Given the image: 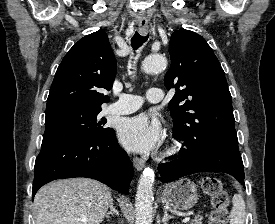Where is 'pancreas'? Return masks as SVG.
<instances>
[{
  "instance_id": "cf45deb5",
  "label": "pancreas",
  "mask_w": 275,
  "mask_h": 224,
  "mask_svg": "<svg viewBox=\"0 0 275 224\" xmlns=\"http://www.w3.org/2000/svg\"><path fill=\"white\" fill-rule=\"evenodd\" d=\"M203 217L201 215H196L195 218L190 222V224H202Z\"/></svg>"
}]
</instances>
